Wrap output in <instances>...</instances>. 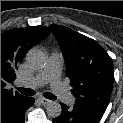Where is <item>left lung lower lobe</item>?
Returning a JSON list of instances; mask_svg holds the SVG:
<instances>
[{
  "label": "left lung lower lobe",
  "mask_w": 123,
  "mask_h": 123,
  "mask_svg": "<svg viewBox=\"0 0 123 123\" xmlns=\"http://www.w3.org/2000/svg\"><path fill=\"white\" fill-rule=\"evenodd\" d=\"M62 112L60 116L53 119V123H98L100 118L84 114L74 108H69L61 103Z\"/></svg>",
  "instance_id": "left-lung-lower-lobe-1"
}]
</instances>
